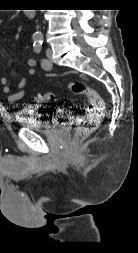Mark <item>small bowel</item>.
Here are the masks:
<instances>
[{"instance_id":"1","label":"small bowel","mask_w":138,"mask_h":253,"mask_svg":"<svg viewBox=\"0 0 138 253\" xmlns=\"http://www.w3.org/2000/svg\"><path fill=\"white\" fill-rule=\"evenodd\" d=\"M27 66L29 67L28 73L30 75L35 74V65L36 61L34 58H28L26 61ZM0 83L3 86V92L8 94V101L10 103H16V102H23L24 96L26 94V79L22 78L15 90H13L9 86V77L8 76H2L0 78Z\"/></svg>"}]
</instances>
